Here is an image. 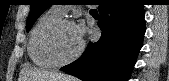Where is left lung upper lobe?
<instances>
[{
  "label": "left lung upper lobe",
  "instance_id": "1",
  "mask_svg": "<svg viewBox=\"0 0 169 81\" xmlns=\"http://www.w3.org/2000/svg\"><path fill=\"white\" fill-rule=\"evenodd\" d=\"M51 0H31V10L27 19V31H29L37 18L50 7Z\"/></svg>",
  "mask_w": 169,
  "mask_h": 81
}]
</instances>
